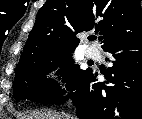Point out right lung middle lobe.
Masks as SVG:
<instances>
[{"instance_id":"1","label":"right lung middle lobe","mask_w":142,"mask_h":119,"mask_svg":"<svg viewBox=\"0 0 142 119\" xmlns=\"http://www.w3.org/2000/svg\"><path fill=\"white\" fill-rule=\"evenodd\" d=\"M72 51L52 53L42 56L32 63L18 68L13 82V95L17 100L30 99L37 103L50 104L64 99L61 96L66 93L59 85L47 79L46 75L60 66L62 82L66 83L68 91H74L89 70H81L79 65L74 64Z\"/></svg>"}]
</instances>
